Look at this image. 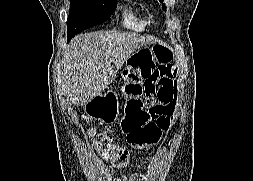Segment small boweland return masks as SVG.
Masks as SVG:
<instances>
[{
  "instance_id": "obj_1",
  "label": "small bowel",
  "mask_w": 253,
  "mask_h": 181,
  "mask_svg": "<svg viewBox=\"0 0 253 181\" xmlns=\"http://www.w3.org/2000/svg\"><path fill=\"white\" fill-rule=\"evenodd\" d=\"M136 71L143 74L141 83L149 95L159 94L165 101L168 116H172L176 110L177 81L176 70L168 65H161L146 53H139L131 64ZM141 175L123 177V181H137Z\"/></svg>"
}]
</instances>
